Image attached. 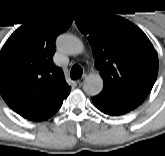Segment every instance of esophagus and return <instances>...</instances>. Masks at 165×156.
<instances>
[{
    "label": "esophagus",
    "instance_id": "1",
    "mask_svg": "<svg viewBox=\"0 0 165 156\" xmlns=\"http://www.w3.org/2000/svg\"><path fill=\"white\" fill-rule=\"evenodd\" d=\"M83 83H84V79H79V80H77V84H78L79 86H82Z\"/></svg>",
    "mask_w": 165,
    "mask_h": 156
}]
</instances>
